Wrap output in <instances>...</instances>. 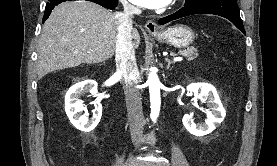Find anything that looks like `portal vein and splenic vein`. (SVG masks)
Segmentation results:
<instances>
[{"instance_id":"portal-vein-and-splenic-vein-1","label":"portal vein and splenic vein","mask_w":277,"mask_h":166,"mask_svg":"<svg viewBox=\"0 0 277 166\" xmlns=\"http://www.w3.org/2000/svg\"><path fill=\"white\" fill-rule=\"evenodd\" d=\"M173 60H174L175 62H176V61H182V60H183V57H175Z\"/></svg>"}]
</instances>
